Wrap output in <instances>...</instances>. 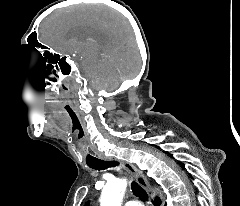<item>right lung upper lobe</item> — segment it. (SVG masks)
<instances>
[{"instance_id": "right-lung-upper-lobe-1", "label": "right lung upper lobe", "mask_w": 240, "mask_h": 206, "mask_svg": "<svg viewBox=\"0 0 240 206\" xmlns=\"http://www.w3.org/2000/svg\"><path fill=\"white\" fill-rule=\"evenodd\" d=\"M89 205V202H87L86 204H85V206H88Z\"/></svg>"}]
</instances>
